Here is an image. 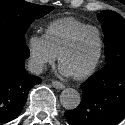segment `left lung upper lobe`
Listing matches in <instances>:
<instances>
[{
    "instance_id": "left-lung-upper-lobe-1",
    "label": "left lung upper lobe",
    "mask_w": 125,
    "mask_h": 125,
    "mask_svg": "<svg viewBox=\"0 0 125 125\" xmlns=\"http://www.w3.org/2000/svg\"><path fill=\"white\" fill-rule=\"evenodd\" d=\"M98 20L102 23L105 35V59L106 61L125 55V20L118 13L105 10L98 14Z\"/></svg>"
}]
</instances>
